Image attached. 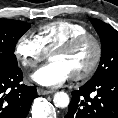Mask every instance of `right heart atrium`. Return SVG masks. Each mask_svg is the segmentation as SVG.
Segmentation results:
<instances>
[{
  "instance_id": "1",
  "label": "right heart atrium",
  "mask_w": 118,
  "mask_h": 118,
  "mask_svg": "<svg viewBox=\"0 0 118 118\" xmlns=\"http://www.w3.org/2000/svg\"><path fill=\"white\" fill-rule=\"evenodd\" d=\"M16 59L26 68L36 67L45 59L47 53L35 36L23 34L15 44Z\"/></svg>"
}]
</instances>
